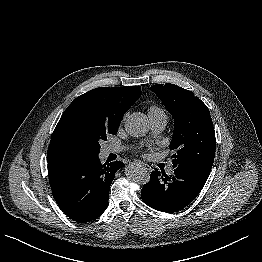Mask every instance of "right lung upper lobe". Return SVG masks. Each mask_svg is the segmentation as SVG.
Instances as JSON below:
<instances>
[{
  "label": "right lung upper lobe",
  "instance_id": "obj_1",
  "mask_svg": "<svg viewBox=\"0 0 262 262\" xmlns=\"http://www.w3.org/2000/svg\"><path fill=\"white\" fill-rule=\"evenodd\" d=\"M141 96L140 86L100 87L77 97L65 110L51 137L48 158H57L51 152L54 141L67 122L77 114H84L107 125L119 127L125 112Z\"/></svg>",
  "mask_w": 262,
  "mask_h": 262
}]
</instances>
